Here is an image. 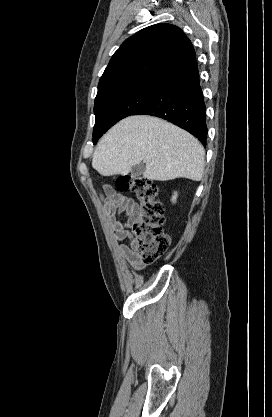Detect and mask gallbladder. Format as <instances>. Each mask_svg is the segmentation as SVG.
Here are the masks:
<instances>
[{
	"mask_svg": "<svg viewBox=\"0 0 272 417\" xmlns=\"http://www.w3.org/2000/svg\"><path fill=\"white\" fill-rule=\"evenodd\" d=\"M144 171H145V164L141 162L132 167L130 174L132 177H137V176L142 175Z\"/></svg>",
	"mask_w": 272,
	"mask_h": 417,
	"instance_id": "1",
	"label": "gallbladder"
}]
</instances>
